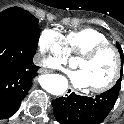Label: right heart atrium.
Returning <instances> with one entry per match:
<instances>
[{"label": "right heart atrium", "instance_id": "1", "mask_svg": "<svg viewBox=\"0 0 124 124\" xmlns=\"http://www.w3.org/2000/svg\"><path fill=\"white\" fill-rule=\"evenodd\" d=\"M37 47L45 66L58 69L67 64L68 55L64 47V38L57 31L43 30L38 36Z\"/></svg>", "mask_w": 124, "mask_h": 124}]
</instances>
